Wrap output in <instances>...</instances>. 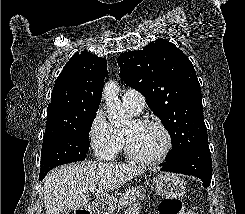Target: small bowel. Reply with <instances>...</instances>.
I'll return each mask as SVG.
<instances>
[{"label": "small bowel", "mask_w": 245, "mask_h": 214, "mask_svg": "<svg viewBox=\"0 0 245 214\" xmlns=\"http://www.w3.org/2000/svg\"><path fill=\"white\" fill-rule=\"evenodd\" d=\"M128 214H140V207L138 205H133L129 208Z\"/></svg>", "instance_id": "1"}]
</instances>
